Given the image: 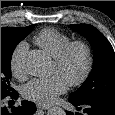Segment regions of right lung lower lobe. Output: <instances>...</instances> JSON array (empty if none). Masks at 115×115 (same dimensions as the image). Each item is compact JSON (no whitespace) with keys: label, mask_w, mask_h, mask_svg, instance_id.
Instances as JSON below:
<instances>
[{"label":"right lung lower lobe","mask_w":115,"mask_h":115,"mask_svg":"<svg viewBox=\"0 0 115 115\" xmlns=\"http://www.w3.org/2000/svg\"><path fill=\"white\" fill-rule=\"evenodd\" d=\"M18 95V92L14 90L8 95L1 96V100L7 96L11 97V99H17ZM35 111V104L27 100H23L18 107H12L11 109L1 107V115H32Z\"/></svg>","instance_id":"98d812e1"}]
</instances>
